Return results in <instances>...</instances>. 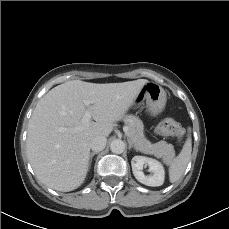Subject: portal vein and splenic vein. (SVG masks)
<instances>
[{
	"instance_id": "obj_1",
	"label": "portal vein and splenic vein",
	"mask_w": 229,
	"mask_h": 229,
	"mask_svg": "<svg viewBox=\"0 0 229 229\" xmlns=\"http://www.w3.org/2000/svg\"><path fill=\"white\" fill-rule=\"evenodd\" d=\"M84 104H85L86 107H90V102H89V101H84ZM90 119H91V112H90L89 110H87V111L85 112L83 118H82V123H83V124H87V123L90 122ZM61 130L64 131V130H67V129H66V128H62ZM75 130H76V131H77V130H80V128H75ZM123 131H124V133H125L126 135L129 134V128H128L127 126H124V127H123Z\"/></svg>"
}]
</instances>
